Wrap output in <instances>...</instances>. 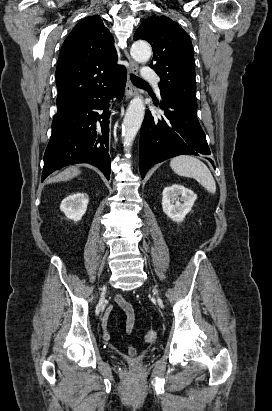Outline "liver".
<instances>
[{"label":"liver","instance_id":"liver-1","mask_svg":"<svg viewBox=\"0 0 272 411\" xmlns=\"http://www.w3.org/2000/svg\"><path fill=\"white\" fill-rule=\"evenodd\" d=\"M81 173L78 167L76 166H70L66 168L63 172L58 174L57 176L49 179L48 183L52 182H60V181H67L70 180L76 176H78Z\"/></svg>","mask_w":272,"mask_h":411}]
</instances>
